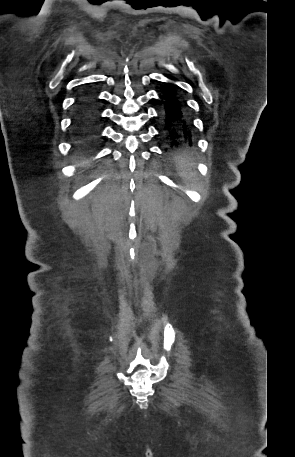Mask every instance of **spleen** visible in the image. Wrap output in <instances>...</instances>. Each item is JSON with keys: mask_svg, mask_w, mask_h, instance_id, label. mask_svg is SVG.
Listing matches in <instances>:
<instances>
[{"mask_svg": "<svg viewBox=\"0 0 295 457\" xmlns=\"http://www.w3.org/2000/svg\"><path fill=\"white\" fill-rule=\"evenodd\" d=\"M191 165L190 163L188 162H184L182 165H181V168H182V175L184 177H189L191 175Z\"/></svg>", "mask_w": 295, "mask_h": 457, "instance_id": "1", "label": "spleen"}]
</instances>
